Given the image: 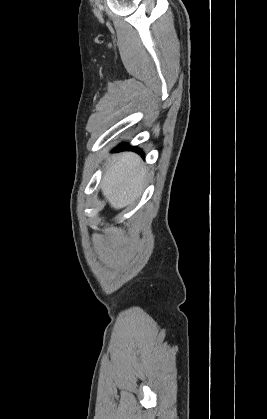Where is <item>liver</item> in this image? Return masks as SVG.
I'll use <instances>...</instances> for the list:
<instances>
[{
    "label": "liver",
    "mask_w": 267,
    "mask_h": 419,
    "mask_svg": "<svg viewBox=\"0 0 267 419\" xmlns=\"http://www.w3.org/2000/svg\"><path fill=\"white\" fill-rule=\"evenodd\" d=\"M146 168L132 152L112 156L106 166L101 190L111 207L121 209L132 204L144 187Z\"/></svg>",
    "instance_id": "obj_1"
}]
</instances>
